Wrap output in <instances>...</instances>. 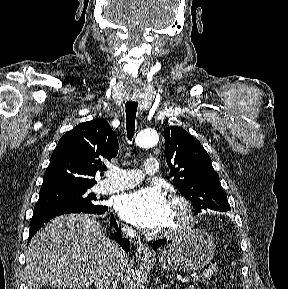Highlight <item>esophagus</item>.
Listing matches in <instances>:
<instances>
[{"label":"esophagus","mask_w":288,"mask_h":289,"mask_svg":"<svg viewBox=\"0 0 288 289\" xmlns=\"http://www.w3.org/2000/svg\"><path fill=\"white\" fill-rule=\"evenodd\" d=\"M136 256L142 260H150L153 255L143 244H138L136 247Z\"/></svg>","instance_id":"obj_1"}]
</instances>
